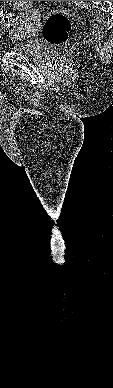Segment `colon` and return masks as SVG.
<instances>
[{
    "label": "colon",
    "mask_w": 113,
    "mask_h": 388,
    "mask_svg": "<svg viewBox=\"0 0 113 388\" xmlns=\"http://www.w3.org/2000/svg\"><path fill=\"white\" fill-rule=\"evenodd\" d=\"M41 19L43 20L42 35L48 43L59 46L68 40L71 22L67 13L56 10L42 16ZM0 24L9 29L15 28V19L2 8L0 9Z\"/></svg>",
    "instance_id": "5ec220e1"
}]
</instances>
